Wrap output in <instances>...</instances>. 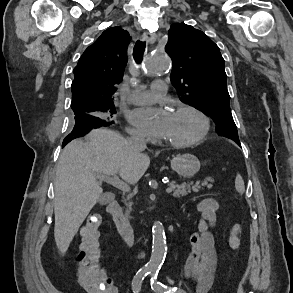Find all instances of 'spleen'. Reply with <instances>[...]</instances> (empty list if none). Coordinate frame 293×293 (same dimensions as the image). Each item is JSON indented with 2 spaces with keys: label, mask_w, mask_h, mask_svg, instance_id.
I'll return each mask as SVG.
<instances>
[{
  "label": "spleen",
  "mask_w": 293,
  "mask_h": 293,
  "mask_svg": "<svg viewBox=\"0 0 293 293\" xmlns=\"http://www.w3.org/2000/svg\"><path fill=\"white\" fill-rule=\"evenodd\" d=\"M235 188H236L237 192H239L240 194H243L245 192L244 181H243L240 174H237V176H236Z\"/></svg>",
  "instance_id": "spleen-1"
}]
</instances>
